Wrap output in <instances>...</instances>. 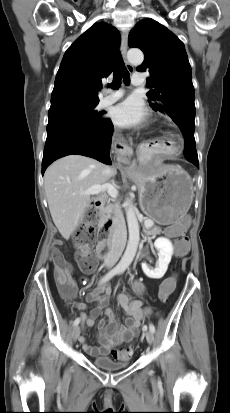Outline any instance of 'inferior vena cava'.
<instances>
[{
    "label": "inferior vena cava",
    "mask_w": 230,
    "mask_h": 413,
    "mask_svg": "<svg viewBox=\"0 0 230 413\" xmlns=\"http://www.w3.org/2000/svg\"><path fill=\"white\" fill-rule=\"evenodd\" d=\"M103 174L105 176L112 177L115 175V170L114 168L106 166L103 169ZM112 222L114 228L112 245L104 261L107 267H112L119 260L127 238L125 220L118 209H115Z\"/></svg>",
    "instance_id": "602c4592"
}]
</instances>
